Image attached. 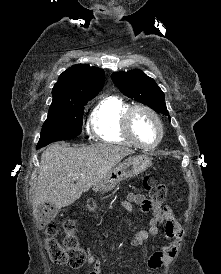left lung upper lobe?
Wrapping results in <instances>:
<instances>
[{"label": "left lung upper lobe", "mask_w": 221, "mask_h": 274, "mask_svg": "<svg viewBox=\"0 0 221 274\" xmlns=\"http://www.w3.org/2000/svg\"><path fill=\"white\" fill-rule=\"evenodd\" d=\"M111 78L119 90L129 98L148 105L157 113L169 115L164 93L156 82L142 71L115 72Z\"/></svg>", "instance_id": "left-lung-upper-lobe-1"}]
</instances>
